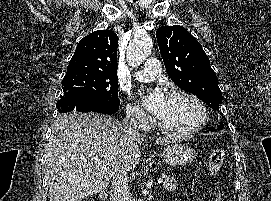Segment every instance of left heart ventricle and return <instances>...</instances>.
I'll return each instance as SVG.
<instances>
[{
  "mask_svg": "<svg viewBox=\"0 0 271 201\" xmlns=\"http://www.w3.org/2000/svg\"><path fill=\"white\" fill-rule=\"evenodd\" d=\"M158 119L169 129L184 131L196 126L201 120L197 105L184 97L166 98Z\"/></svg>",
  "mask_w": 271,
  "mask_h": 201,
  "instance_id": "left-heart-ventricle-1",
  "label": "left heart ventricle"
}]
</instances>
